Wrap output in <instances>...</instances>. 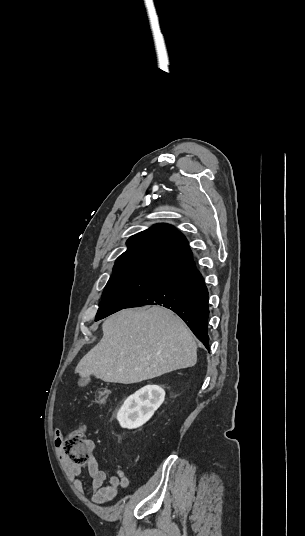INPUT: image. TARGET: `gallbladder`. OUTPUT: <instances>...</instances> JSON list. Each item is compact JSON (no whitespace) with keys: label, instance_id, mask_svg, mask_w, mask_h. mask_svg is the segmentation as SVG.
<instances>
[{"label":"gallbladder","instance_id":"obj_1","mask_svg":"<svg viewBox=\"0 0 305 536\" xmlns=\"http://www.w3.org/2000/svg\"><path fill=\"white\" fill-rule=\"evenodd\" d=\"M89 382H90V376L89 378H80V380H78V386H87Z\"/></svg>","mask_w":305,"mask_h":536}]
</instances>
